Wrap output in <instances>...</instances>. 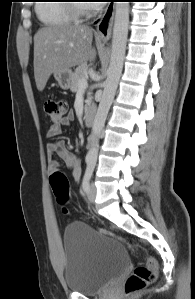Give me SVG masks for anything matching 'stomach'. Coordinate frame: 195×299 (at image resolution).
Segmentation results:
<instances>
[{
    "label": "stomach",
    "instance_id": "1",
    "mask_svg": "<svg viewBox=\"0 0 195 299\" xmlns=\"http://www.w3.org/2000/svg\"><path fill=\"white\" fill-rule=\"evenodd\" d=\"M72 75L73 73L69 69L67 71L54 73V78L62 89L67 90L71 86Z\"/></svg>",
    "mask_w": 195,
    "mask_h": 299
}]
</instances>
